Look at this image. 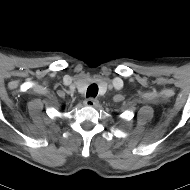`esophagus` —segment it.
I'll return each mask as SVG.
<instances>
[{
    "label": "esophagus",
    "instance_id": "34e87169",
    "mask_svg": "<svg viewBox=\"0 0 190 190\" xmlns=\"http://www.w3.org/2000/svg\"><path fill=\"white\" fill-rule=\"evenodd\" d=\"M98 103V101L95 98H88L84 101V104L88 107H94L96 106V104Z\"/></svg>",
    "mask_w": 190,
    "mask_h": 190
}]
</instances>
